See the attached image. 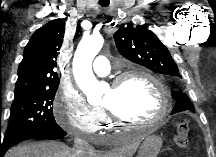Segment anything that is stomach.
<instances>
[{
    "mask_svg": "<svg viewBox=\"0 0 216 157\" xmlns=\"http://www.w3.org/2000/svg\"><path fill=\"white\" fill-rule=\"evenodd\" d=\"M162 146V138L158 135H148L140 145L136 157H156Z\"/></svg>",
    "mask_w": 216,
    "mask_h": 157,
    "instance_id": "obj_1",
    "label": "stomach"
}]
</instances>
